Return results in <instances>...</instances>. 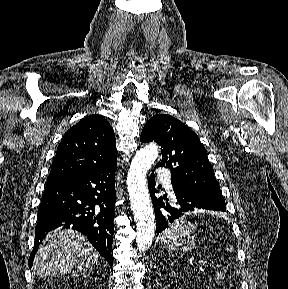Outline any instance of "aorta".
<instances>
[{"label": "aorta", "instance_id": "762f6f07", "mask_svg": "<svg viewBox=\"0 0 288 289\" xmlns=\"http://www.w3.org/2000/svg\"><path fill=\"white\" fill-rule=\"evenodd\" d=\"M158 157L156 144L140 149L134 156L127 175V188L137 231V247L147 250L155 235V216L149 196L146 174Z\"/></svg>", "mask_w": 288, "mask_h": 289}]
</instances>
